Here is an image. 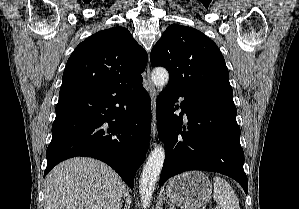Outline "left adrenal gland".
Returning <instances> with one entry per match:
<instances>
[{"label":"left adrenal gland","instance_id":"1","mask_svg":"<svg viewBox=\"0 0 299 209\" xmlns=\"http://www.w3.org/2000/svg\"><path fill=\"white\" fill-rule=\"evenodd\" d=\"M169 209H176L172 204H170Z\"/></svg>","mask_w":299,"mask_h":209}]
</instances>
